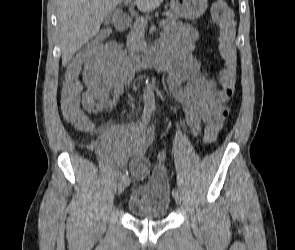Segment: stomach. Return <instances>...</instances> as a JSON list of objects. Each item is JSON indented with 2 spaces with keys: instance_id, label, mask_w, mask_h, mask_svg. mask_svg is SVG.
<instances>
[{
  "instance_id": "0dacf381",
  "label": "stomach",
  "mask_w": 295,
  "mask_h": 250,
  "mask_svg": "<svg viewBox=\"0 0 295 250\" xmlns=\"http://www.w3.org/2000/svg\"><path fill=\"white\" fill-rule=\"evenodd\" d=\"M171 10L178 17L195 19L200 17L208 7V0H171Z\"/></svg>"
}]
</instances>
